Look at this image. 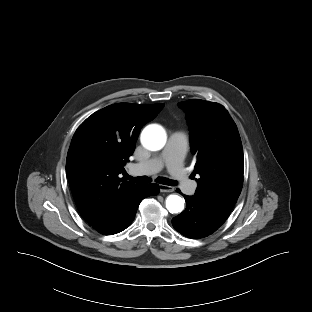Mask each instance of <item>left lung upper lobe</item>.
<instances>
[{
    "mask_svg": "<svg viewBox=\"0 0 312 312\" xmlns=\"http://www.w3.org/2000/svg\"><path fill=\"white\" fill-rule=\"evenodd\" d=\"M179 107L187 114L191 148L196 157L195 197L230 213L243 184L244 157L237 126L224 106L187 100Z\"/></svg>",
    "mask_w": 312,
    "mask_h": 312,
    "instance_id": "obj_1",
    "label": "left lung upper lobe"
}]
</instances>
